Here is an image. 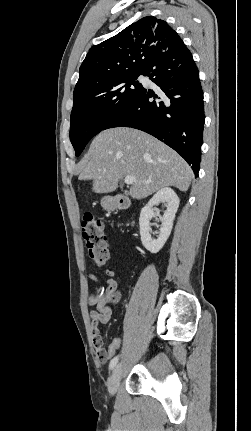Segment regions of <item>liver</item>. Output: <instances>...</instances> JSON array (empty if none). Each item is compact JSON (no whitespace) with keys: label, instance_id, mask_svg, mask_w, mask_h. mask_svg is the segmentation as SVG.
Here are the masks:
<instances>
[{"label":"liver","instance_id":"6515ba94","mask_svg":"<svg viewBox=\"0 0 251 431\" xmlns=\"http://www.w3.org/2000/svg\"><path fill=\"white\" fill-rule=\"evenodd\" d=\"M126 176L136 179L129 194L140 200L168 186L186 192L193 172L178 153L147 133L127 127L102 131L82 161L79 179L93 180L92 190L103 194L115 191Z\"/></svg>","mask_w":251,"mask_h":431}]
</instances>
